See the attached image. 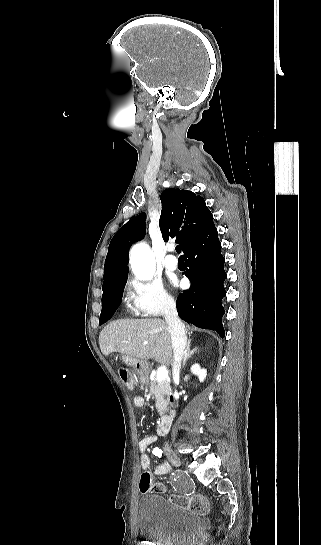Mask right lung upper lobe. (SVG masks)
Here are the masks:
<instances>
[{
	"label": "right lung upper lobe",
	"instance_id": "right-lung-upper-lobe-1",
	"mask_svg": "<svg viewBox=\"0 0 321 545\" xmlns=\"http://www.w3.org/2000/svg\"><path fill=\"white\" fill-rule=\"evenodd\" d=\"M162 211L160 228L164 241L176 239L186 248L201 237L213 223V215L201 196L179 188L166 189L161 194ZM146 214L134 217L112 238L105 260V274L102 290L111 289L127 278L130 246L145 236Z\"/></svg>",
	"mask_w": 321,
	"mask_h": 545
}]
</instances>
